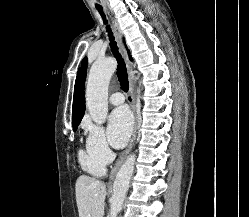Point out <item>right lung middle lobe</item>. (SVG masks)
Segmentation results:
<instances>
[{"mask_svg": "<svg viewBox=\"0 0 249 217\" xmlns=\"http://www.w3.org/2000/svg\"><path fill=\"white\" fill-rule=\"evenodd\" d=\"M77 127H78V126H74V127H73V130L76 131Z\"/></svg>", "mask_w": 249, "mask_h": 217, "instance_id": "right-lung-middle-lobe-1", "label": "right lung middle lobe"}]
</instances>
